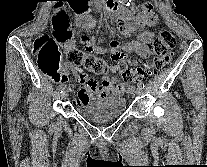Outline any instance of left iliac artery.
I'll use <instances>...</instances> for the list:
<instances>
[{
	"instance_id": "44dca946",
	"label": "left iliac artery",
	"mask_w": 207,
	"mask_h": 167,
	"mask_svg": "<svg viewBox=\"0 0 207 167\" xmlns=\"http://www.w3.org/2000/svg\"><path fill=\"white\" fill-rule=\"evenodd\" d=\"M138 87H141V88L145 87L144 82L142 80H139Z\"/></svg>"
}]
</instances>
